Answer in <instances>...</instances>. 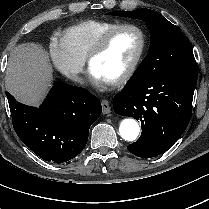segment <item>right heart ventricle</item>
Returning <instances> with one entry per match:
<instances>
[{
	"label": "right heart ventricle",
	"mask_w": 209,
	"mask_h": 209,
	"mask_svg": "<svg viewBox=\"0 0 209 209\" xmlns=\"http://www.w3.org/2000/svg\"><path fill=\"white\" fill-rule=\"evenodd\" d=\"M119 22L101 19H87L68 26L63 30V37L71 51L85 60L97 40Z\"/></svg>",
	"instance_id": "obj_1"
}]
</instances>
